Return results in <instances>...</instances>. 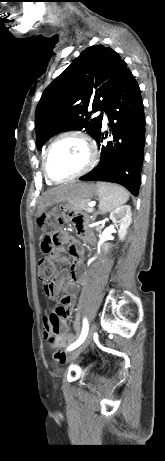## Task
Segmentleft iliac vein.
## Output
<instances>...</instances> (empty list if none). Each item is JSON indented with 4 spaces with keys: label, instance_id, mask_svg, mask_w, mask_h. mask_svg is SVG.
<instances>
[{
    "label": "left iliac vein",
    "instance_id": "left-iliac-vein-1",
    "mask_svg": "<svg viewBox=\"0 0 165 461\" xmlns=\"http://www.w3.org/2000/svg\"><path fill=\"white\" fill-rule=\"evenodd\" d=\"M96 330H97V324H96V323H92L91 326H90V328H89L87 338H86L85 341L79 346V348H77L75 351H73V352L70 354L69 359H73V358L77 357V356L88 346V344H89L90 341L92 340V337L94 336Z\"/></svg>",
    "mask_w": 165,
    "mask_h": 461
}]
</instances>
